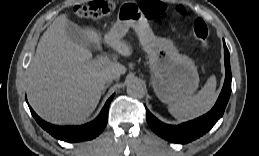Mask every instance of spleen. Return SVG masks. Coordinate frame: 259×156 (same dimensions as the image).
<instances>
[{
    "mask_svg": "<svg viewBox=\"0 0 259 156\" xmlns=\"http://www.w3.org/2000/svg\"><path fill=\"white\" fill-rule=\"evenodd\" d=\"M216 77L211 76L203 88L192 98L170 105L168 111L179 121L194 119L208 112L215 102Z\"/></svg>",
    "mask_w": 259,
    "mask_h": 156,
    "instance_id": "3e777b00",
    "label": "spleen"
}]
</instances>
